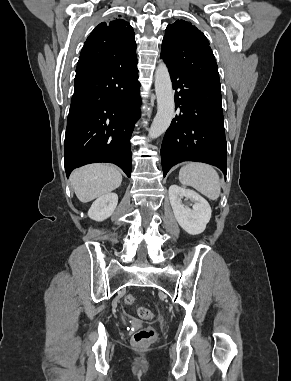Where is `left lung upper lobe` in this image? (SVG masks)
Returning <instances> with one entry per match:
<instances>
[{
    "mask_svg": "<svg viewBox=\"0 0 291 381\" xmlns=\"http://www.w3.org/2000/svg\"><path fill=\"white\" fill-rule=\"evenodd\" d=\"M161 58L195 79L220 84L217 63L207 38L187 21L177 20L167 26Z\"/></svg>",
    "mask_w": 291,
    "mask_h": 381,
    "instance_id": "obj_1",
    "label": "left lung upper lobe"
}]
</instances>
